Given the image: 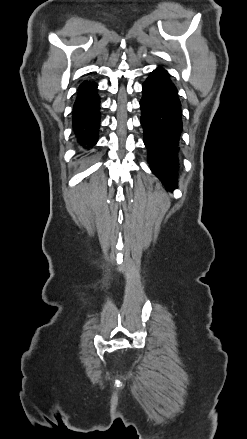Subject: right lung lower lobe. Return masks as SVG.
Wrapping results in <instances>:
<instances>
[{"instance_id":"98d812e1","label":"right lung lower lobe","mask_w":247,"mask_h":439,"mask_svg":"<svg viewBox=\"0 0 247 439\" xmlns=\"http://www.w3.org/2000/svg\"><path fill=\"white\" fill-rule=\"evenodd\" d=\"M97 84L79 88L74 104L73 126L81 145L86 148L95 145L98 140L100 127L99 96L96 93Z\"/></svg>"}]
</instances>
